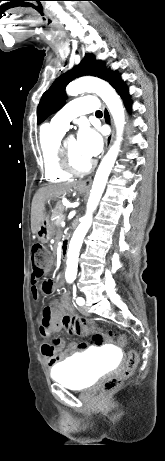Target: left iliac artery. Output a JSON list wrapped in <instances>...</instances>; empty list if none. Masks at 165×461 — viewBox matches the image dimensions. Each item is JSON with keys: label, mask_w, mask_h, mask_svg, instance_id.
<instances>
[{"label": "left iliac artery", "mask_w": 165, "mask_h": 461, "mask_svg": "<svg viewBox=\"0 0 165 461\" xmlns=\"http://www.w3.org/2000/svg\"><path fill=\"white\" fill-rule=\"evenodd\" d=\"M76 302H77V304H78V305H80V306H81V305H84V302H85V301H84V299H83V298H81V297H78V298L76 299Z\"/></svg>", "instance_id": "left-iliac-artery-1"}]
</instances>
